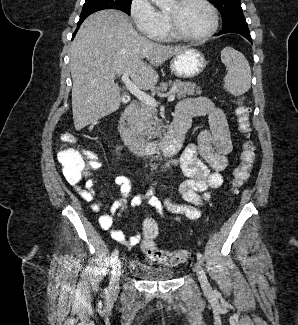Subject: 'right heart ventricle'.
Listing matches in <instances>:
<instances>
[{"label":"right heart ventricle","instance_id":"right-heart-ventricle-1","mask_svg":"<svg viewBox=\"0 0 298 325\" xmlns=\"http://www.w3.org/2000/svg\"><path fill=\"white\" fill-rule=\"evenodd\" d=\"M162 16H163V18L165 19V22H166V18H165V15H164V14H162ZM165 28H166V26H165ZM169 41H171V38H170V37H168V36H166V37H165V42H169Z\"/></svg>","mask_w":298,"mask_h":325}]
</instances>
